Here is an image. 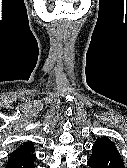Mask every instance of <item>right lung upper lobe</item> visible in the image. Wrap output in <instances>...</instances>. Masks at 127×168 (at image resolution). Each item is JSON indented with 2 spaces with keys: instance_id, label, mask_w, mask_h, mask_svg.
Returning <instances> with one entry per match:
<instances>
[{
  "instance_id": "1",
  "label": "right lung upper lobe",
  "mask_w": 127,
  "mask_h": 168,
  "mask_svg": "<svg viewBox=\"0 0 127 168\" xmlns=\"http://www.w3.org/2000/svg\"><path fill=\"white\" fill-rule=\"evenodd\" d=\"M33 144L31 142L26 143L24 146L17 148L13 151L9 157L10 158H25L33 156Z\"/></svg>"
}]
</instances>
